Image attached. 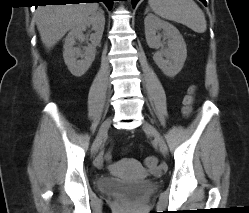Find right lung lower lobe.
Listing matches in <instances>:
<instances>
[{
	"label": "right lung lower lobe",
	"instance_id": "obj_1",
	"mask_svg": "<svg viewBox=\"0 0 249 213\" xmlns=\"http://www.w3.org/2000/svg\"><path fill=\"white\" fill-rule=\"evenodd\" d=\"M82 1H95V2H104L109 10L112 9L114 0H46L45 2L55 3V4H66V3H80ZM44 2V3H45Z\"/></svg>",
	"mask_w": 249,
	"mask_h": 213
}]
</instances>
